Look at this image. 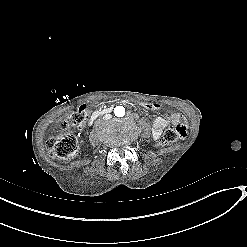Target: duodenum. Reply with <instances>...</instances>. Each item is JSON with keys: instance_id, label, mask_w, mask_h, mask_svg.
Listing matches in <instances>:
<instances>
[{"instance_id": "1", "label": "duodenum", "mask_w": 247, "mask_h": 247, "mask_svg": "<svg viewBox=\"0 0 247 247\" xmlns=\"http://www.w3.org/2000/svg\"><path fill=\"white\" fill-rule=\"evenodd\" d=\"M110 112H112V107L96 110L89 117L88 123L91 125L97 118H99L100 116H103L105 114H108Z\"/></svg>"}]
</instances>
